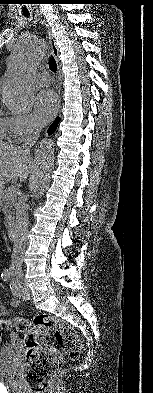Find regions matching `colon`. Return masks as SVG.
Segmentation results:
<instances>
[{
	"label": "colon",
	"mask_w": 153,
	"mask_h": 393,
	"mask_svg": "<svg viewBox=\"0 0 153 393\" xmlns=\"http://www.w3.org/2000/svg\"><path fill=\"white\" fill-rule=\"evenodd\" d=\"M4 327H12L24 334L27 348L22 379L33 393H44L47 384L61 369L63 355L59 349L48 345L50 332L54 334L61 349L71 358L78 359L83 342L76 331L63 320L49 315L38 314L33 323L25 317L2 320Z\"/></svg>",
	"instance_id": "5ec220e1"
}]
</instances>
